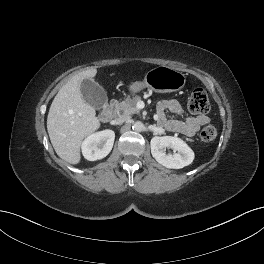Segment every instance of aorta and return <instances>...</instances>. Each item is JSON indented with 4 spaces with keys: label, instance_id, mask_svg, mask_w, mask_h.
Here are the masks:
<instances>
[{
    "label": "aorta",
    "instance_id": "1",
    "mask_svg": "<svg viewBox=\"0 0 264 264\" xmlns=\"http://www.w3.org/2000/svg\"><path fill=\"white\" fill-rule=\"evenodd\" d=\"M132 128L136 132H141L144 129V124L140 121H136V122H134Z\"/></svg>",
    "mask_w": 264,
    "mask_h": 264
}]
</instances>
